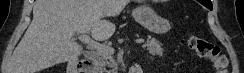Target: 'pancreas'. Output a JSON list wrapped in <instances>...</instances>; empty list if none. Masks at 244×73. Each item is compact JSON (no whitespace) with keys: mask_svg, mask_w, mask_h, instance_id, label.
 I'll use <instances>...</instances> for the list:
<instances>
[{"mask_svg":"<svg viewBox=\"0 0 244 73\" xmlns=\"http://www.w3.org/2000/svg\"><path fill=\"white\" fill-rule=\"evenodd\" d=\"M143 47L147 48L149 53L153 56H161L163 54L162 44L159 41H156L155 39L148 40ZM94 60L97 63L99 69L103 70L106 73H108V71H105L106 67L115 68L117 66L115 60L113 59L112 53L109 52H97L94 55Z\"/></svg>","mask_w":244,"mask_h":73,"instance_id":"obj_1","label":"pancreas"}]
</instances>
